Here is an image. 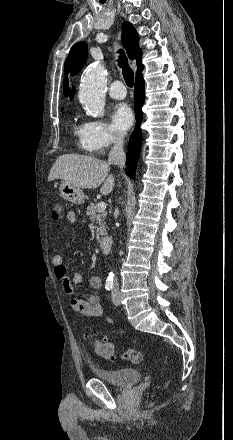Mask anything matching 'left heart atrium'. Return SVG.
<instances>
[{
  "label": "left heart atrium",
  "instance_id": "left-heart-atrium-1",
  "mask_svg": "<svg viewBox=\"0 0 233 440\" xmlns=\"http://www.w3.org/2000/svg\"><path fill=\"white\" fill-rule=\"evenodd\" d=\"M111 119L117 129L126 131L133 123L132 110L125 103L116 104L112 108Z\"/></svg>",
  "mask_w": 233,
  "mask_h": 440
}]
</instances>
